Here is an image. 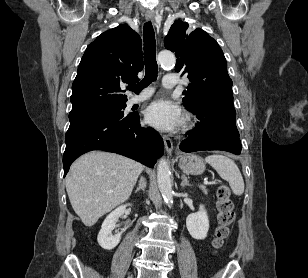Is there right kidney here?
<instances>
[{
  "label": "right kidney",
  "mask_w": 308,
  "mask_h": 278,
  "mask_svg": "<svg viewBox=\"0 0 308 278\" xmlns=\"http://www.w3.org/2000/svg\"><path fill=\"white\" fill-rule=\"evenodd\" d=\"M128 205H122L116 208L104 220L101 230L97 237L98 243L103 249L111 250L115 248L120 242L122 232L113 235L112 231L116 227V222L118 218L124 214L125 209Z\"/></svg>",
  "instance_id": "ca27d5eb"
}]
</instances>
